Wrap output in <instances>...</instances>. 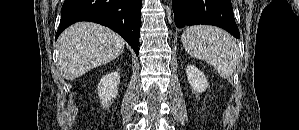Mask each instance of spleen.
Segmentation results:
<instances>
[{
	"instance_id": "3e777b00",
	"label": "spleen",
	"mask_w": 299,
	"mask_h": 130,
	"mask_svg": "<svg viewBox=\"0 0 299 130\" xmlns=\"http://www.w3.org/2000/svg\"><path fill=\"white\" fill-rule=\"evenodd\" d=\"M181 41L190 56L206 61L222 78L232 77L239 61V49L229 33L214 26L195 25L186 28Z\"/></svg>"
}]
</instances>
